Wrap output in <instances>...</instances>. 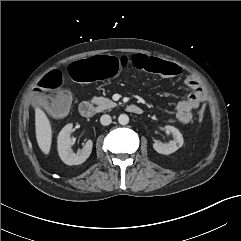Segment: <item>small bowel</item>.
I'll return each mask as SVG.
<instances>
[{"instance_id":"1","label":"small bowel","mask_w":241,"mask_h":241,"mask_svg":"<svg viewBox=\"0 0 241 241\" xmlns=\"http://www.w3.org/2000/svg\"><path fill=\"white\" fill-rule=\"evenodd\" d=\"M185 83L192 89V92L185 99L180 100L176 106V118L182 124L190 123L192 119V110L198 108L206 99V92L201 87L196 77L192 75L186 76Z\"/></svg>"}]
</instances>
